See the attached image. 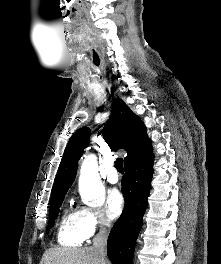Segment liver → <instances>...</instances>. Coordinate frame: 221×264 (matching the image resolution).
<instances>
[{
  "mask_svg": "<svg viewBox=\"0 0 221 264\" xmlns=\"http://www.w3.org/2000/svg\"><path fill=\"white\" fill-rule=\"evenodd\" d=\"M40 264H101L93 247L47 249ZM106 264H109L106 262Z\"/></svg>",
  "mask_w": 221,
  "mask_h": 264,
  "instance_id": "obj_1",
  "label": "liver"
}]
</instances>
